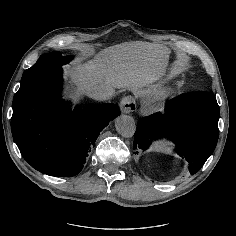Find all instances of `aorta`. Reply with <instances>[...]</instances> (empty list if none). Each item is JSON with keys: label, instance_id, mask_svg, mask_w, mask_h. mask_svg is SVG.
<instances>
[{"label": "aorta", "instance_id": "1", "mask_svg": "<svg viewBox=\"0 0 236 236\" xmlns=\"http://www.w3.org/2000/svg\"><path fill=\"white\" fill-rule=\"evenodd\" d=\"M115 128L123 137H132L136 131V125L133 118L127 115H121L115 120Z\"/></svg>", "mask_w": 236, "mask_h": 236}]
</instances>
